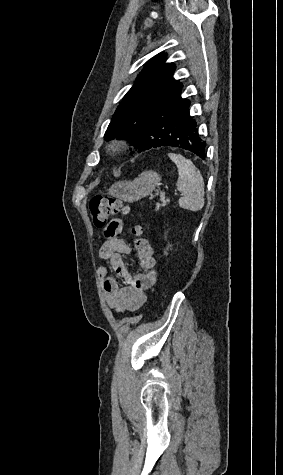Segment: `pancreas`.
<instances>
[{
	"label": "pancreas",
	"mask_w": 283,
	"mask_h": 475,
	"mask_svg": "<svg viewBox=\"0 0 283 475\" xmlns=\"http://www.w3.org/2000/svg\"><path fill=\"white\" fill-rule=\"evenodd\" d=\"M160 202H162V204H156L155 210H160L161 206H167L168 202H170L169 198L166 200L164 192H161L160 194Z\"/></svg>",
	"instance_id": "1"
}]
</instances>
